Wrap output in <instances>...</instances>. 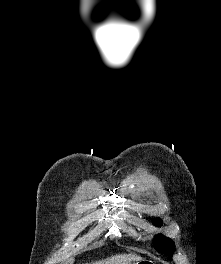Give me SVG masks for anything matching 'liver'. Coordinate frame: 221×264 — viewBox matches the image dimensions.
Wrapping results in <instances>:
<instances>
[{
	"label": "liver",
	"mask_w": 221,
	"mask_h": 264,
	"mask_svg": "<svg viewBox=\"0 0 221 264\" xmlns=\"http://www.w3.org/2000/svg\"><path fill=\"white\" fill-rule=\"evenodd\" d=\"M140 260L142 258L135 254H121L91 264H134Z\"/></svg>",
	"instance_id": "1"
}]
</instances>
